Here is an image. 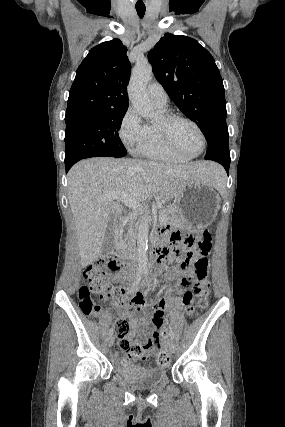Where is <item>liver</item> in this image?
I'll return each instance as SVG.
<instances>
[{
	"label": "liver",
	"mask_w": 285,
	"mask_h": 427,
	"mask_svg": "<svg viewBox=\"0 0 285 427\" xmlns=\"http://www.w3.org/2000/svg\"><path fill=\"white\" fill-rule=\"evenodd\" d=\"M223 170L211 162L171 164L115 158H90L76 163L69 171L68 199L74 217L81 266L96 261L109 217L122 214L114 200H102L113 193H124L137 202L158 197L168 202L179 186L188 181L216 184L217 171Z\"/></svg>",
	"instance_id": "obj_1"
}]
</instances>
